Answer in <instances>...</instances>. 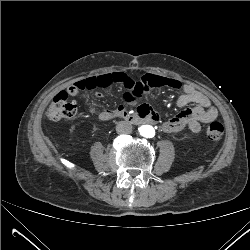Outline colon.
<instances>
[{
	"instance_id": "5ec220e1",
	"label": "colon",
	"mask_w": 250,
	"mask_h": 250,
	"mask_svg": "<svg viewBox=\"0 0 250 250\" xmlns=\"http://www.w3.org/2000/svg\"><path fill=\"white\" fill-rule=\"evenodd\" d=\"M133 78L124 72H111L96 77L80 80L66 90L57 93L46 111V116L52 121H62L75 117L77 114V105L69 100V96L77 94L81 90H92L97 87L105 88L113 84H123L129 87V82ZM165 79L157 75H145L136 84V89L140 92L150 90L152 87L162 86ZM223 125L219 121L211 122L207 127V137L211 141L219 140L223 135Z\"/></svg>"
}]
</instances>
